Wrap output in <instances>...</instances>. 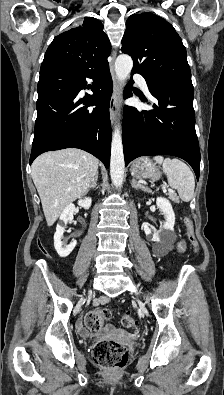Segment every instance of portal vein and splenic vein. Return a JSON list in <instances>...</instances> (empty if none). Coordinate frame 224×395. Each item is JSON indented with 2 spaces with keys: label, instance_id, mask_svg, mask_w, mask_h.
<instances>
[{
  "label": "portal vein and splenic vein",
  "instance_id": "portal-vein-and-splenic-vein-1",
  "mask_svg": "<svg viewBox=\"0 0 224 395\" xmlns=\"http://www.w3.org/2000/svg\"><path fill=\"white\" fill-rule=\"evenodd\" d=\"M163 190H164V191H166V188H164ZM169 190H170V189H169ZM170 191H172V192H173V190H170Z\"/></svg>",
  "mask_w": 224,
  "mask_h": 395
}]
</instances>
